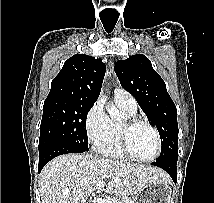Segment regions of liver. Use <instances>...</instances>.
<instances>
[{
  "label": "liver",
  "instance_id": "obj_1",
  "mask_svg": "<svg viewBox=\"0 0 214 203\" xmlns=\"http://www.w3.org/2000/svg\"><path fill=\"white\" fill-rule=\"evenodd\" d=\"M159 178L166 180L167 175L155 167L88 153L65 154L50 161L40 174L41 203H88L95 186L106 180L108 194L128 197ZM63 190L70 193L63 194Z\"/></svg>",
  "mask_w": 214,
  "mask_h": 203
}]
</instances>
